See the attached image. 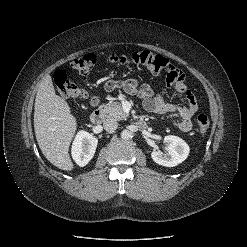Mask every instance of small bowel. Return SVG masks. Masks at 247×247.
<instances>
[{
    "mask_svg": "<svg viewBox=\"0 0 247 247\" xmlns=\"http://www.w3.org/2000/svg\"><path fill=\"white\" fill-rule=\"evenodd\" d=\"M177 92L185 94L188 100L187 105H173L167 103L162 95L153 91L147 83H139L135 79L110 80L106 83L107 90L122 88L129 95L141 99L144 108L155 114H174L177 118L176 125L182 132H189L192 129V117L198 110V103L195 95L188 89L184 79L174 82ZM92 105L98 100L94 98Z\"/></svg>",
    "mask_w": 247,
    "mask_h": 247,
    "instance_id": "1",
    "label": "small bowel"
}]
</instances>
